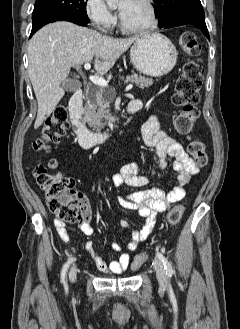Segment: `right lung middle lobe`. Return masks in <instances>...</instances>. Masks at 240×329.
Listing matches in <instances>:
<instances>
[{"label": "right lung middle lobe", "mask_w": 240, "mask_h": 329, "mask_svg": "<svg viewBox=\"0 0 240 329\" xmlns=\"http://www.w3.org/2000/svg\"><path fill=\"white\" fill-rule=\"evenodd\" d=\"M42 16H58L89 22L86 0H36L32 20Z\"/></svg>", "instance_id": "dd1d6c3e"}]
</instances>
